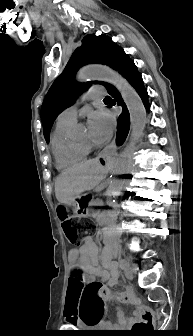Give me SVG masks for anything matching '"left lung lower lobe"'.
Instances as JSON below:
<instances>
[{
	"mask_svg": "<svg viewBox=\"0 0 193 336\" xmlns=\"http://www.w3.org/2000/svg\"><path fill=\"white\" fill-rule=\"evenodd\" d=\"M115 70H117L128 82L134 87L146 109H149L148 94L144 87L141 74L138 72L134 62L122 50L117 56L115 63ZM108 93L114 98L118 105L122 106V113L118 117V129L116 143L122 145L125 141L130 128V117L126 104L124 103L118 90L111 84L106 87ZM112 103V104H114ZM127 177V176H124Z\"/></svg>",
	"mask_w": 193,
	"mask_h": 336,
	"instance_id": "1",
	"label": "left lung lower lobe"
}]
</instances>
